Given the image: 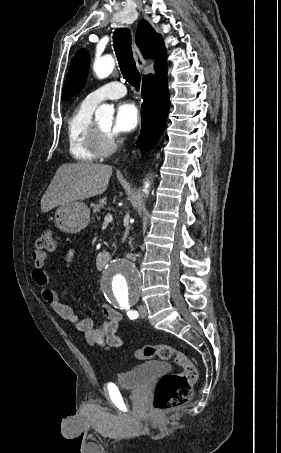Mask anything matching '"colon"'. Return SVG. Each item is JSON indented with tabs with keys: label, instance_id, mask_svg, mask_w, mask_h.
<instances>
[{
	"label": "colon",
	"instance_id": "obj_1",
	"mask_svg": "<svg viewBox=\"0 0 281 453\" xmlns=\"http://www.w3.org/2000/svg\"><path fill=\"white\" fill-rule=\"evenodd\" d=\"M57 230L45 227L37 240L36 247L40 250H54ZM133 357L144 362L158 358L163 362L173 363L180 368V373H168L160 378L155 389L153 407L158 413L169 412L181 404L191 400L190 382L198 376L197 366L187 357L167 344L152 345L132 352Z\"/></svg>",
	"mask_w": 281,
	"mask_h": 453
}]
</instances>
